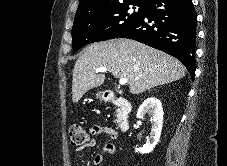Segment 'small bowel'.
Instances as JSON below:
<instances>
[{"label":"small bowel","mask_w":227,"mask_h":166,"mask_svg":"<svg viewBox=\"0 0 227 166\" xmlns=\"http://www.w3.org/2000/svg\"><path fill=\"white\" fill-rule=\"evenodd\" d=\"M89 132L92 136L108 134L110 137H115V132L106 126L93 125L90 127ZM96 143H97L96 140L94 138H92L88 145H86L85 147L77 148L76 153H80L84 148H93L96 146ZM104 155L117 156L118 155L117 147L112 143L106 144L103 147L102 151L93 157L89 166H99L101 164V162L103 161Z\"/></svg>","instance_id":"small-bowel-1"}]
</instances>
